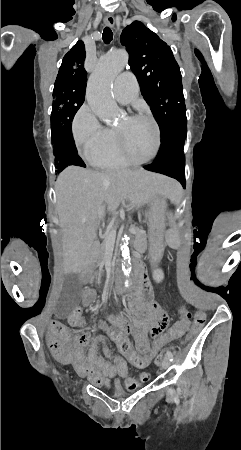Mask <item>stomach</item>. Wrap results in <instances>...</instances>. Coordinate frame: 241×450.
<instances>
[{
	"label": "stomach",
	"mask_w": 241,
	"mask_h": 450,
	"mask_svg": "<svg viewBox=\"0 0 241 450\" xmlns=\"http://www.w3.org/2000/svg\"><path fill=\"white\" fill-rule=\"evenodd\" d=\"M165 200L154 196L149 205V256L153 263L159 262L165 249Z\"/></svg>",
	"instance_id": "1"
}]
</instances>
